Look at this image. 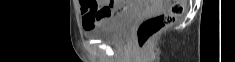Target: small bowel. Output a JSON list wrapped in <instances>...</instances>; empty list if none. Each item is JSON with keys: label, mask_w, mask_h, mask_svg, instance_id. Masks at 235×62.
I'll return each mask as SVG.
<instances>
[{"label": "small bowel", "mask_w": 235, "mask_h": 62, "mask_svg": "<svg viewBox=\"0 0 235 62\" xmlns=\"http://www.w3.org/2000/svg\"><path fill=\"white\" fill-rule=\"evenodd\" d=\"M118 9H128L123 0L81 1L82 22L85 30L102 26Z\"/></svg>", "instance_id": "c3829d8e"}]
</instances>
